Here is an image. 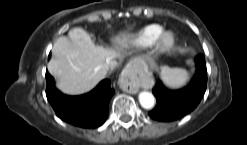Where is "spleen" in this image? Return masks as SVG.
Masks as SVG:
<instances>
[{"label": "spleen", "instance_id": "1", "mask_svg": "<svg viewBox=\"0 0 247 145\" xmlns=\"http://www.w3.org/2000/svg\"><path fill=\"white\" fill-rule=\"evenodd\" d=\"M161 78L167 87L177 89L185 86L189 82L190 75L188 71L181 68L162 66Z\"/></svg>", "mask_w": 247, "mask_h": 145}]
</instances>
